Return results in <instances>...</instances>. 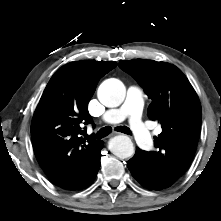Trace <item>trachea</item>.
I'll return each instance as SVG.
<instances>
[{"instance_id": "3493384b", "label": "trachea", "mask_w": 221, "mask_h": 221, "mask_svg": "<svg viewBox=\"0 0 221 221\" xmlns=\"http://www.w3.org/2000/svg\"><path fill=\"white\" fill-rule=\"evenodd\" d=\"M115 130L118 132H122V133H125L128 135H131L130 129L126 126H118L115 128ZM111 132H112V128L109 126H106L104 128H101L95 137H96V139H101V138L108 136Z\"/></svg>"}]
</instances>
